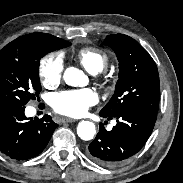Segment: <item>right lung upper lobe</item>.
Masks as SVG:
<instances>
[{
	"instance_id": "1",
	"label": "right lung upper lobe",
	"mask_w": 183,
	"mask_h": 183,
	"mask_svg": "<svg viewBox=\"0 0 183 183\" xmlns=\"http://www.w3.org/2000/svg\"><path fill=\"white\" fill-rule=\"evenodd\" d=\"M66 43L67 41L50 34L32 33L23 35L7 44V46L0 51V56L11 52L19 53L32 46H40L52 52L57 49L65 48Z\"/></svg>"
}]
</instances>
